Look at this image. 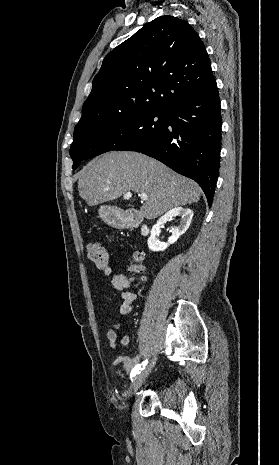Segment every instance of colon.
Returning <instances> with one entry per match:
<instances>
[{"label":"colon","mask_w":279,"mask_h":465,"mask_svg":"<svg viewBox=\"0 0 279 465\" xmlns=\"http://www.w3.org/2000/svg\"><path fill=\"white\" fill-rule=\"evenodd\" d=\"M87 254L90 261L99 269L106 273L109 272V258L105 248L99 242H90L87 245ZM143 253L136 251L132 255V263L129 271L135 279H143L144 268L141 265Z\"/></svg>","instance_id":"colon-1"}]
</instances>
